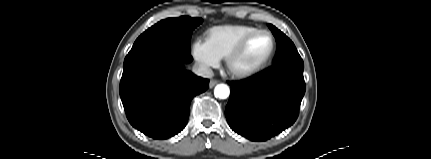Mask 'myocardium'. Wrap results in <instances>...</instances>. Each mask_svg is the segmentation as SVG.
I'll return each instance as SVG.
<instances>
[{
    "label": "myocardium",
    "instance_id": "f54148a6",
    "mask_svg": "<svg viewBox=\"0 0 431 159\" xmlns=\"http://www.w3.org/2000/svg\"><path fill=\"white\" fill-rule=\"evenodd\" d=\"M260 34H266L272 40V49H271L269 55L266 57V59L263 62H261L259 65L255 66L253 68H250L247 70H236L234 68L235 61L244 52L248 43L254 37H256L257 35H260ZM276 49H277V42H276L274 35L268 30L257 29L255 31L247 34L244 38H242L241 41L234 47V49L227 55V57L225 58L227 72L229 73L230 76H232L233 78H236V79H246V78L252 77V76L260 73L261 71H263L264 69H266L269 66V64L272 62V60L275 56Z\"/></svg>",
    "mask_w": 431,
    "mask_h": 159
}]
</instances>
